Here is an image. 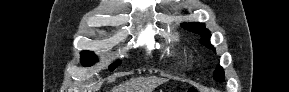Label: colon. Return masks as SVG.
Segmentation results:
<instances>
[{
	"label": "colon",
	"mask_w": 289,
	"mask_h": 92,
	"mask_svg": "<svg viewBox=\"0 0 289 92\" xmlns=\"http://www.w3.org/2000/svg\"><path fill=\"white\" fill-rule=\"evenodd\" d=\"M187 92H198V91H197V89H195V88H189V89L187 90Z\"/></svg>",
	"instance_id": "5ec220e1"
}]
</instances>
